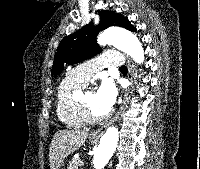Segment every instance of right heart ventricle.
I'll return each instance as SVG.
<instances>
[{"instance_id": "obj_1", "label": "right heart ventricle", "mask_w": 200, "mask_h": 169, "mask_svg": "<svg viewBox=\"0 0 200 169\" xmlns=\"http://www.w3.org/2000/svg\"><path fill=\"white\" fill-rule=\"evenodd\" d=\"M85 85L66 76L59 84L56 98V112L60 122L67 128L77 130L86 125L80 102L75 93Z\"/></svg>"}]
</instances>
